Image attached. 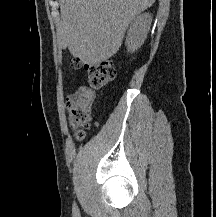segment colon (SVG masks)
Masks as SVG:
<instances>
[{
    "label": "colon",
    "instance_id": "colon-1",
    "mask_svg": "<svg viewBox=\"0 0 216 217\" xmlns=\"http://www.w3.org/2000/svg\"><path fill=\"white\" fill-rule=\"evenodd\" d=\"M116 70L109 61H102L88 68V81L72 94L69 122L75 129L78 140L84 138V130L88 129L92 120V106L96 99V92L114 79Z\"/></svg>",
    "mask_w": 216,
    "mask_h": 217
}]
</instances>
